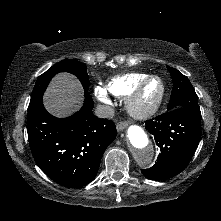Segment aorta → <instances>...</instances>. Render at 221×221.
Returning <instances> with one entry per match:
<instances>
[{
    "mask_svg": "<svg viewBox=\"0 0 221 221\" xmlns=\"http://www.w3.org/2000/svg\"><path fill=\"white\" fill-rule=\"evenodd\" d=\"M127 140L134 158L141 166H148L154 158V149L142 127L131 125L127 130Z\"/></svg>",
    "mask_w": 221,
    "mask_h": 221,
    "instance_id": "obj_1",
    "label": "aorta"
}]
</instances>
